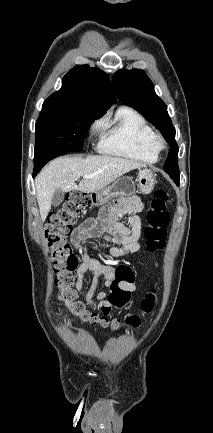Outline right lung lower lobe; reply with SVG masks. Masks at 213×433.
<instances>
[{
    "label": "right lung lower lobe",
    "mask_w": 213,
    "mask_h": 433,
    "mask_svg": "<svg viewBox=\"0 0 213 433\" xmlns=\"http://www.w3.org/2000/svg\"><path fill=\"white\" fill-rule=\"evenodd\" d=\"M67 151L60 149H48L34 155V170L33 177L41 170V168L51 159L64 155Z\"/></svg>",
    "instance_id": "right-lung-lower-lobe-1"
}]
</instances>
